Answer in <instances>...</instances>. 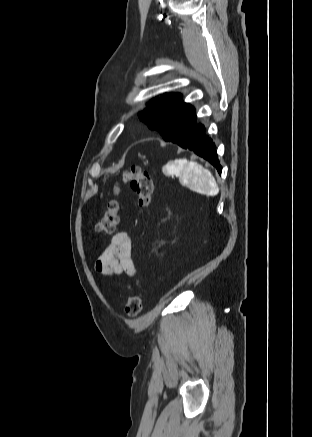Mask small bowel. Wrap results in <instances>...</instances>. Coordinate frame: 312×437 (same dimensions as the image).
Segmentation results:
<instances>
[{
  "label": "small bowel",
  "mask_w": 312,
  "mask_h": 437,
  "mask_svg": "<svg viewBox=\"0 0 312 437\" xmlns=\"http://www.w3.org/2000/svg\"><path fill=\"white\" fill-rule=\"evenodd\" d=\"M95 268L104 275H135L131 240L127 232H118L112 237L109 245L97 259Z\"/></svg>",
  "instance_id": "obj_1"
}]
</instances>
